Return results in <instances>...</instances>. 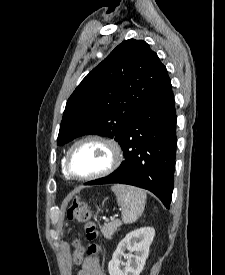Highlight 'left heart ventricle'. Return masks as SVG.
<instances>
[{
    "label": "left heart ventricle",
    "mask_w": 225,
    "mask_h": 275,
    "mask_svg": "<svg viewBox=\"0 0 225 275\" xmlns=\"http://www.w3.org/2000/svg\"><path fill=\"white\" fill-rule=\"evenodd\" d=\"M110 162L108 148L97 142L79 145L72 153L70 167L77 175H89L105 169Z\"/></svg>",
    "instance_id": "obj_1"
}]
</instances>
